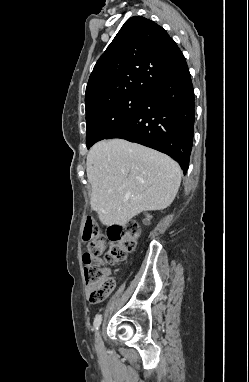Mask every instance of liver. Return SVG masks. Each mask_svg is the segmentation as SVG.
<instances>
[{
  "mask_svg": "<svg viewBox=\"0 0 249 382\" xmlns=\"http://www.w3.org/2000/svg\"><path fill=\"white\" fill-rule=\"evenodd\" d=\"M91 207L103 225H124L143 211L174 200L181 168L169 156L124 139L103 140L87 155Z\"/></svg>",
  "mask_w": 249,
  "mask_h": 382,
  "instance_id": "liver-1",
  "label": "liver"
}]
</instances>
